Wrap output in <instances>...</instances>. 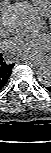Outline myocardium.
<instances>
[{
	"label": "myocardium",
	"mask_w": 51,
	"mask_h": 153,
	"mask_svg": "<svg viewBox=\"0 0 51 153\" xmlns=\"http://www.w3.org/2000/svg\"><path fill=\"white\" fill-rule=\"evenodd\" d=\"M49 24H50V26H51V19L49 20Z\"/></svg>",
	"instance_id": "1"
}]
</instances>
